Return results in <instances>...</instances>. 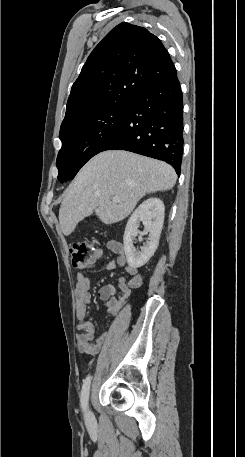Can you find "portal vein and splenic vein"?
Listing matches in <instances>:
<instances>
[{
    "label": "portal vein and splenic vein",
    "mask_w": 245,
    "mask_h": 457,
    "mask_svg": "<svg viewBox=\"0 0 245 457\" xmlns=\"http://www.w3.org/2000/svg\"><path fill=\"white\" fill-rule=\"evenodd\" d=\"M112 200L113 202H119L120 198L119 196H113Z\"/></svg>",
    "instance_id": "portal-vein-and-splenic-vein-1"
}]
</instances>
